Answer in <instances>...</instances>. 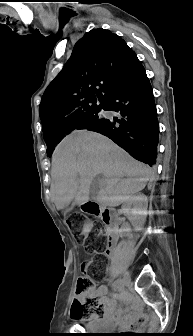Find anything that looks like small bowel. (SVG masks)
Returning a JSON list of instances; mask_svg holds the SVG:
<instances>
[{"instance_id": "c3829d8e", "label": "small bowel", "mask_w": 193, "mask_h": 336, "mask_svg": "<svg viewBox=\"0 0 193 336\" xmlns=\"http://www.w3.org/2000/svg\"><path fill=\"white\" fill-rule=\"evenodd\" d=\"M87 295L98 296L103 305V315L102 318L108 325H120L127 326L133 323H143L144 318L139 314L131 313L129 315L124 314V310H129L132 307L131 298L128 295H125L121 299L122 307L117 305V302L114 298H110L107 295V288L104 285H100L96 288H93L87 293ZM99 318V316H96Z\"/></svg>"}]
</instances>
